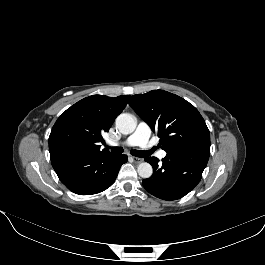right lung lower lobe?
Here are the masks:
<instances>
[{"label": "right lung lower lobe", "mask_w": 265, "mask_h": 265, "mask_svg": "<svg viewBox=\"0 0 265 265\" xmlns=\"http://www.w3.org/2000/svg\"><path fill=\"white\" fill-rule=\"evenodd\" d=\"M126 162V155L105 153L56 160L52 166L70 191L91 195L110 187Z\"/></svg>", "instance_id": "right-lung-lower-lobe-1"}]
</instances>
